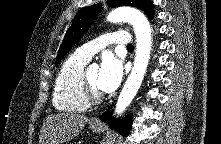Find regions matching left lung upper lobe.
<instances>
[{
  "label": "left lung upper lobe",
  "instance_id": "1",
  "mask_svg": "<svg viewBox=\"0 0 221 144\" xmlns=\"http://www.w3.org/2000/svg\"><path fill=\"white\" fill-rule=\"evenodd\" d=\"M108 5L111 7L122 5L137 7L144 11L150 19L154 17V8L151 0H108ZM100 9L101 4H95L81 9L76 14L59 48L56 64L60 62L64 55L81 39L85 32H87Z\"/></svg>",
  "mask_w": 221,
  "mask_h": 144
}]
</instances>
